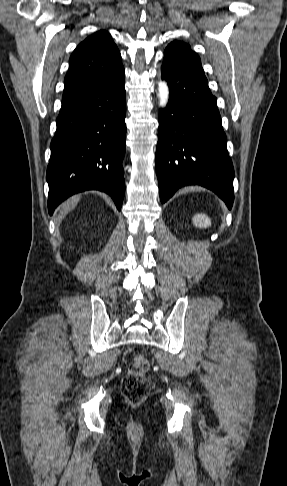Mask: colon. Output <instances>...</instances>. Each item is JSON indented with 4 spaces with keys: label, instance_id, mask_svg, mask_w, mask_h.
Wrapping results in <instances>:
<instances>
[{
    "label": "colon",
    "instance_id": "1",
    "mask_svg": "<svg viewBox=\"0 0 287 486\" xmlns=\"http://www.w3.org/2000/svg\"><path fill=\"white\" fill-rule=\"evenodd\" d=\"M148 369L149 362L145 357L141 355L134 356L121 385L122 392L129 402L138 404L149 394Z\"/></svg>",
    "mask_w": 287,
    "mask_h": 486
}]
</instances>
